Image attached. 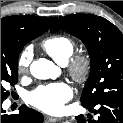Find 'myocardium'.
Listing matches in <instances>:
<instances>
[{"label": "myocardium", "mask_w": 123, "mask_h": 123, "mask_svg": "<svg viewBox=\"0 0 123 123\" xmlns=\"http://www.w3.org/2000/svg\"><path fill=\"white\" fill-rule=\"evenodd\" d=\"M66 64L70 75L77 83L86 82L91 75L92 60L86 54L71 56Z\"/></svg>", "instance_id": "myocardium-1"}]
</instances>
